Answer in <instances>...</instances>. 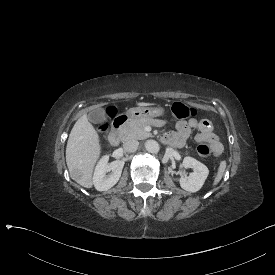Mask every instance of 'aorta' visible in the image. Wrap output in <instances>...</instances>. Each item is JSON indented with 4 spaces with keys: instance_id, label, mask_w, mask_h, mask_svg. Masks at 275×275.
<instances>
[{
    "instance_id": "obj_1",
    "label": "aorta",
    "mask_w": 275,
    "mask_h": 275,
    "mask_svg": "<svg viewBox=\"0 0 275 275\" xmlns=\"http://www.w3.org/2000/svg\"><path fill=\"white\" fill-rule=\"evenodd\" d=\"M145 148L150 153H158L159 152V144L155 140H147L145 142Z\"/></svg>"
}]
</instances>
